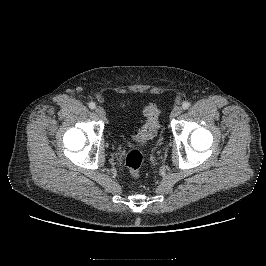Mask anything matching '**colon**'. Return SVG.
I'll list each match as a JSON object with an SVG mask.
<instances>
[{"label": "colon", "instance_id": "5ec220e1", "mask_svg": "<svg viewBox=\"0 0 266 266\" xmlns=\"http://www.w3.org/2000/svg\"><path fill=\"white\" fill-rule=\"evenodd\" d=\"M143 114L146 117V122L134 135V139L140 143H145L156 136L159 128L160 109L156 104H149L144 107ZM142 162L143 156L139 150H131L126 156L125 166L135 179L140 177Z\"/></svg>", "mask_w": 266, "mask_h": 266}]
</instances>
